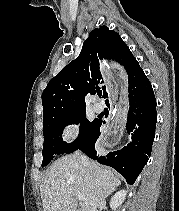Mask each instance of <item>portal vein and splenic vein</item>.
<instances>
[{
	"label": "portal vein and splenic vein",
	"instance_id": "1",
	"mask_svg": "<svg viewBox=\"0 0 179 211\" xmlns=\"http://www.w3.org/2000/svg\"><path fill=\"white\" fill-rule=\"evenodd\" d=\"M77 198L82 201V200H84L85 196L81 193H78Z\"/></svg>",
	"mask_w": 179,
	"mask_h": 211
}]
</instances>
